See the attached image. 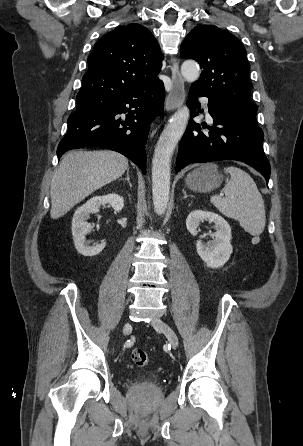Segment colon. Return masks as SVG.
I'll return each instance as SVG.
<instances>
[{"instance_id":"colon-1","label":"colon","mask_w":303,"mask_h":446,"mask_svg":"<svg viewBox=\"0 0 303 446\" xmlns=\"http://www.w3.org/2000/svg\"><path fill=\"white\" fill-rule=\"evenodd\" d=\"M132 360L136 366L143 368L149 364L150 358L146 351L135 349L132 352Z\"/></svg>"}]
</instances>
